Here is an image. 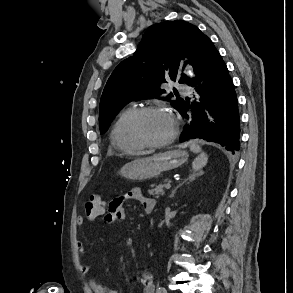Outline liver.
Instances as JSON below:
<instances>
[{"mask_svg": "<svg viewBox=\"0 0 293 293\" xmlns=\"http://www.w3.org/2000/svg\"><path fill=\"white\" fill-rule=\"evenodd\" d=\"M150 152H143L142 154H149Z\"/></svg>", "mask_w": 293, "mask_h": 293, "instance_id": "liver-1", "label": "liver"}]
</instances>
